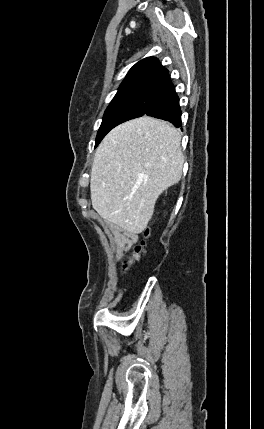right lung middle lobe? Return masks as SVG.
<instances>
[{"label": "right lung middle lobe", "instance_id": "1", "mask_svg": "<svg viewBox=\"0 0 264 429\" xmlns=\"http://www.w3.org/2000/svg\"><path fill=\"white\" fill-rule=\"evenodd\" d=\"M162 88L138 87L117 92L107 107L96 137L95 147L115 126L143 116L160 94Z\"/></svg>", "mask_w": 264, "mask_h": 429}]
</instances>
